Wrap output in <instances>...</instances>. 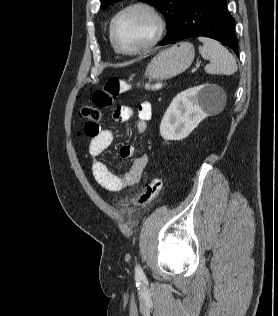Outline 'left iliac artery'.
<instances>
[{
    "instance_id": "left-iliac-artery-1",
    "label": "left iliac artery",
    "mask_w": 278,
    "mask_h": 316,
    "mask_svg": "<svg viewBox=\"0 0 278 316\" xmlns=\"http://www.w3.org/2000/svg\"><path fill=\"white\" fill-rule=\"evenodd\" d=\"M135 275L138 278H142L144 276L143 270L139 264H137L135 267Z\"/></svg>"
}]
</instances>
